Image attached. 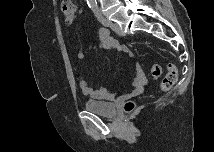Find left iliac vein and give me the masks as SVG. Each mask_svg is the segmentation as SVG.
Segmentation results:
<instances>
[{
	"label": "left iliac vein",
	"mask_w": 215,
	"mask_h": 152,
	"mask_svg": "<svg viewBox=\"0 0 215 152\" xmlns=\"http://www.w3.org/2000/svg\"><path fill=\"white\" fill-rule=\"evenodd\" d=\"M110 22V21H109ZM111 29L118 35H123V32L118 24L110 22Z\"/></svg>",
	"instance_id": "4c4485c4"
}]
</instances>
